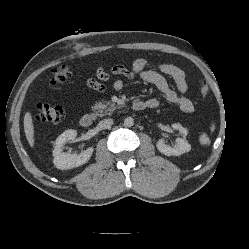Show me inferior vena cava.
Here are the masks:
<instances>
[{"label":"inferior vena cava","mask_w":249,"mask_h":249,"mask_svg":"<svg viewBox=\"0 0 249 249\" xmlns=\"http://www.w3.org/2000/svg\"><path fill=\"white\" fill-rule=\"evenodd\" d=\"M112 124H113V119L109 118L100 121L98 126L100 129H107L110 128Z\"/></svg>","instance_id":"602c4592"}]
</instances>
